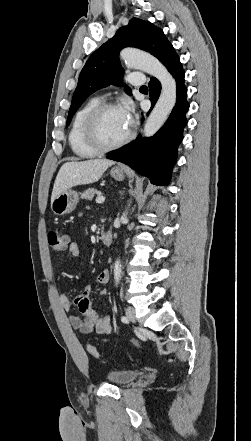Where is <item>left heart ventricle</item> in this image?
Returning a JSON list of instances; mask_svg holds the SVG:
<instances>
[{"mask_svg": "<svg viewBox=\"0 0 251 441\" xmlns=\"http://www.w3.org/2000/svg\"><path fill=\"white\" fill-rule=\"evenodd\" d=\"M97 130L103 143L114 144L128 134L130 125L121 109L116 108L106 111L100 117Z\"/></svg>", "mask_w": 251, "mask_h": 441, "instance_id": "b2bd125f", "label": "left heart ventricle"}]
</instances>
